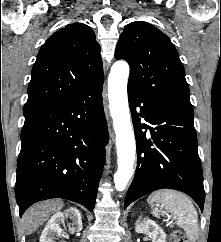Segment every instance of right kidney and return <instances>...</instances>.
<instances>
[{
    "instance_id": "1",
    "label": "right kidney",
    "mask_w": 221,
    "mask_h": 242,
    "mask_svg": "<svg viewBox=\"0 0 221 242\" xmlns=\"http://www.w3.org/2000/svg\"><path fill=\"white\" fill-rule=\"evenodd\" d=\"M65 218H69L72 222L70 230L72 232H80L83 229L82 217L80 211L76 207H70L64 212L55 213L42 231L40 242H55L54 236L60 235L62 228L60 225L64 223Z\"/></svg>"
}]
</instances>
